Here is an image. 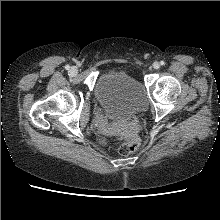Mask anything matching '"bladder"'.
Masks as SVG:
<instances>
[{
    "label": "bladder",
    "instance_id": "1",
    "mask_svg": "<svg viewBox=\"0 0 220 220\" xmlns=\"http://www.w3.org/2000/svg\"><path fill=\"white\" fill-rule=\"evenodd\" d=\"M95 98L112 121L126 122L146 106L142 84L125 71H111L99 77Z\"/></svg>",
    "mask_w": 220,
    "mask_h": 220
}]
</instances>
